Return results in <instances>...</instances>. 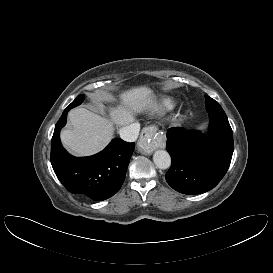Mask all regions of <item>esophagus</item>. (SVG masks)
<instances>
[{
  "instance_id": "esophagus-1",
  "label": "esophagus",
  "mask_w": 273,
  "mask_h": 273,
  "mask_svg": "<svg viewBox=\"0 0 273 273\" xmlns=\"http://www.w3.org/2000/svg\"><path fill=\"white\" fill-rule=\"evenodd\" d=\"M157 131L158 129L155 126L143 128L138 143V150L142 154L148 155L155 149L165 147V138L158 134Z\"/></svg>"
}]
</instances>
